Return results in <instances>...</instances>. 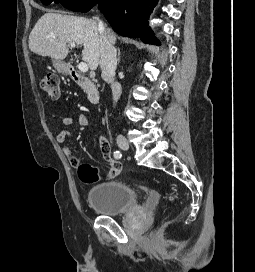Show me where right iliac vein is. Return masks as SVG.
I'll list each match as a JSON object with an SVG mask.
<instances>
[{"label": "right iliac vein", "mask_w": 255, "mask_h": 272, "mask_svg": "<svg viewBox=\"0 0 255 272\" xmlns=\"http://www.w3.org/2000/svg\"><path fill=\"white\" fill-rule=\"evenodd\" d=\"M117 144L122 150H128L129 149V142L122 135L117 136Z\"/></svg>", "instance_id": "1"}]
</instances>
